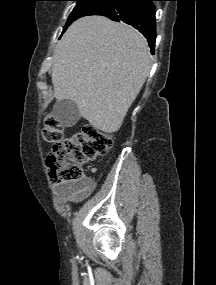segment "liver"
Listing matches in <instances>:
<instances>
[{
    "instance_id": "liver-1",
    "label": "liver",
    "mask_w": 216,
    "mask_h": 285,
    "mask_svg": "<svg viewBox=\"0 0 216 285\" xmlns=\"http://www.w3.org/2000/svg\"><path fill=\"white\" fill-rule=\"evenodd\" d=\"M146 39L102 16L75 21L53 57L54 97L73 101L92 126L116 132L149 74Z\"/></svg>"
}]
</instances>
